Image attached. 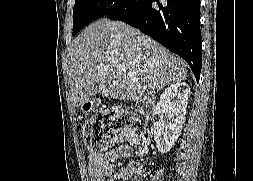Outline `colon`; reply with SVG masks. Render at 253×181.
I'll return each instance as SVG.
<instances>
[{"label": "colon", "mask_w": 253, "mask_h": 181, "mask_svg": "<svg viewBox=\"0 0 253 181\" xmlns=\"http://www.w3.org/2000/svg\"><path fill=\"white\" fill-rule=\"evenodd\" d=\"M123 138H130L143 149L150 134L140 119L118 110L99 112L83 127V139L93 153L106 150ZM140 171L141 165L133 163L128 171L116 175L113 181H139Z\"/></svg>", "instance_id": "colon-1"}]
</instances>
